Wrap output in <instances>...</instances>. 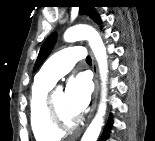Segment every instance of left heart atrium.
<instances>
[{"mask_svg": "<svg viewBox=\"0 0 155 141\" xmlns=\"http://www.w3.org/2000/svg\"><path fill=\"white\" fill-rule=\"evenodd\" d=\"M91 86L88 78L81 74L68 81L65 89V101L68 110L78 116L89 104Z\"/></svg>", "mask_w": 155, "mask_h": 141, "instance_id": "1", "label": "left heart atrium"}]
</instances>
